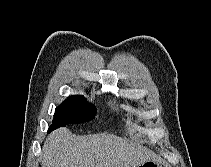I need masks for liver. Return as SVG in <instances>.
Returning a JSON list of instances; mask_svg holds the SVG:
<instances>
[{
	"mask_svg": "<svg viewBox=\"0 0 211 167\" xmlns=\"http://www.w3.org/2000/svg\"><path fill=\"white\" fill-rule=\"evenodd\" d=\"M43 167H137L149 154L109 134L76 136L68 129L51 133L42 149Z\"/></svg>",
	"mask_w": 211,
	"mask_h": 167,
	"instance_id": "liver-1",
	"label": "liver"
}]
</instances>
